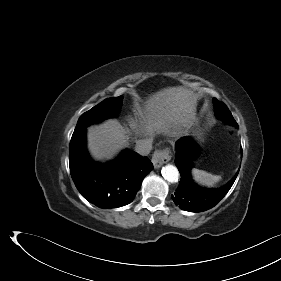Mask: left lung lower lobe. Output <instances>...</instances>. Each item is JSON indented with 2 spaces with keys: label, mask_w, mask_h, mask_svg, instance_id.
I'll use <instances>...</instances> for the list:
<instances>
[{
  "label": "left lung lower lobe",
  "mask_w": 281,
  "mask_h": 281,
  "mask_svg": "<svg viewBox=\"0 0 281 281\" xmlns=\"http://www.w3.org/2000/svg\"><path fill=\"white\" fill-rule=\"evenodd\" d=\"M175 163L181 174V181L172 199L181 209L189 212H202L214 207L227 194L237 175L225 186L218 189L201 188L190 176L192 160L197 153V147L189 137L176 142Z\"/></svg>",
  "instance_id": "1"
}]
</instances>
